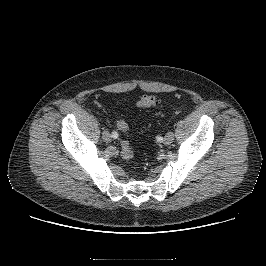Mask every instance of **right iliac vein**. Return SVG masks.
I'll use <instances>...</instances> for the list:
<instances>
[{"mask_svg":"<svg viewBox=\"0 0 266 266\" xmlns=\"http://www.w3.org/2000/svg\"><path fill=\"white\" fill-rule=\"evenodd\" d=\"M102 137L105 141L109 142L111 140V136L108 131H104Z\"/></svg>","mask_w":266,"mask_h":266,"instance_id":"63e3f726","label":"right iliac vein"}]
</instances>
